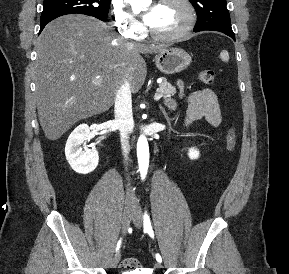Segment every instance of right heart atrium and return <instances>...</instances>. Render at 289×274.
I'll use <instances>...</instances> for the list:
<instances>
[{"label": "right heart atrium", "mask_w": 289, "mask_h": 274, "mask_svg": "<svg viewBox=\"0 0 289 274\" xmlns=\"http://www.w3.org/2000/svg\"><path fill=\"white\" fill-rule=\"evenodd\" d=\"M112 13L120 33L130 38H138L142 34V25L124 10L121 1L115 0L113 2Z\"/></svg>", "instance_id": "obj_1"}]
</instances>
